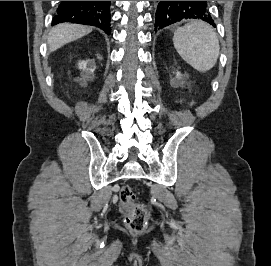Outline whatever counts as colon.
Segmentation results:
<instances>
[{
	"mask_svg": "<svg viewBox=\"0 0 271 266\" xmlns=\"http://www.w3.org/2000/svg\"><path fill=\"white\" fill-rule=\"evenodd\" d=\"M122 204L128 209L125 218L127 227L134 233H143L148 222L145 208L136 202V196L129 185H125L120 191Z\"/></svg>",
	"mask_w": 271,
	"mask_h": 266,
	"instance_id": "colon-1",
	"label": "colon"
}]
</instances>
